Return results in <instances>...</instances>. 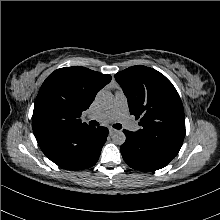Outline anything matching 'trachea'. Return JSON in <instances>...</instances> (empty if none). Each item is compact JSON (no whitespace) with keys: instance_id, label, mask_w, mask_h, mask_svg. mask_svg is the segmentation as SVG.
<instances>
[{"instance_id":"trachea-1","label":"trachea","mask_w":220,"mask_h":220,"mask_svg":"<svg viewBox=\"0 0 220 220\" xmlns=\"http://www.w3.org/2000/svg\"><path fill=\"white\" fill-rule=\"evenodd\" d=\"M89 124L92 125V126H98V125H99V123L96 122V121H90ZM113 127H114L115 129H121V128H122V125L117 123V124H114Z\"/></svg>"}]
</instances>
